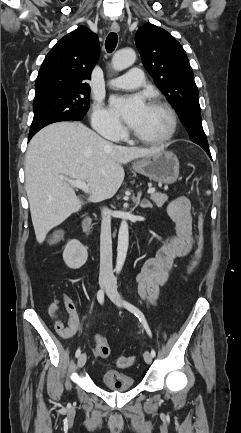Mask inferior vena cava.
I'll return each instance as SVG.
<instances>
[{
	"label": "inferior vena cava",
	"instance_id": "1",
	"mask_svg": "<svg viewBox=\"0 0 241 433\" xmlns=\"http://www.w3.org/2000/svg\"><path fill=\"white\" fill-rule=\"evenodd\" d=\"M101 215L99 279L114 281L115 277L112 267L111 211L105 207L101 211Z\"/></svg>",
	"mask_w": 241,
	"mask_h": 433
}]
</instances>
